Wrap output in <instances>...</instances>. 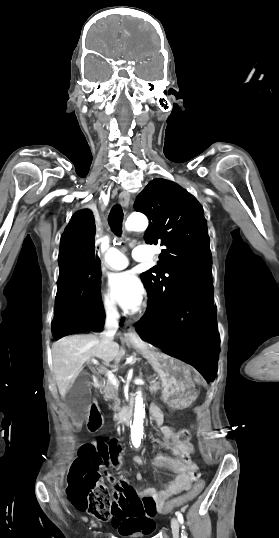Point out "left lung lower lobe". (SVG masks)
I'll use <instances>...</instances> for the list:
<instances>
[{"label": "left lung lower lobe", "mask_w": 279, "mask_h": 538, "mask_svg": "<svg viewBox=\"0 0 279 538\" xmlns=\"http://www.w3.org/2000/svg\"><path fill=\"white\" fill-rule=\"evenodd\" d=\"M213 283L180 295L159 317L141 318L137 333L147 342L195 367L208 381L216 377L219 333Z\"/></svg>", "instance_id": "obj_1"}]
</instances>
